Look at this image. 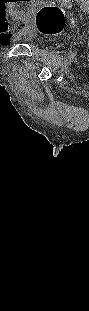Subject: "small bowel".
Masks as SVG:
<instances>
[{
	"label": "small bowel",
	"mask_w": 89,
	"mask_h": 311,
	"mask_svg": "<svg viewBox=\"0 0 89 311\" xmlns=\"http://www.w3.org/2000/svg\"><path fill=\"white\" fill-rule=\"evenodd\" d=\"M17 36L11 32H3L0 36V44L7 46L16 40Z\"/></svg>",
	"instance_id": "obj_1"
}]
</instances>
